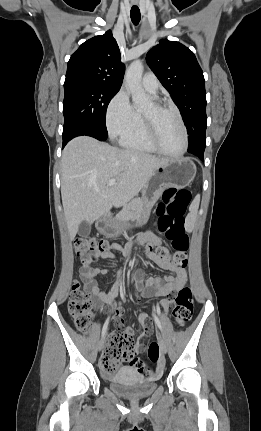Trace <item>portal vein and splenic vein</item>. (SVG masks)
Returning <instances> with one entry per match:
<instances>
[{"label": "portal vein and splenic vein", "mask_w": 261, "mask_h": 431, "mask_svg": "<svg viewBox=\"0 0 261 431\" xmlns=\"http://www.w3.org/2000/svg\"><path fill=\"white\" fill-rule=\"evenodd\" d=\"M116 183V179H110L108 182V186H113Z\"/></svg>", "instance_id": "1"}]
</instances>
